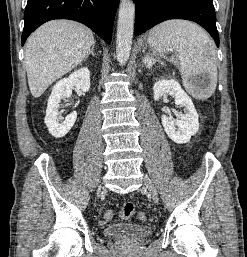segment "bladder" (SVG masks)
<instances>
[{
	"label": "bladder",
	"instance_id": "1",
	"mask_svg": "<svg viewBox=\"0 0 247 257\" xmlns=\"http://www.w3.org/2000/svg\"><path fill=\"white\" fill-rule=\"evenodd\" d=\"M103 235L108 239L123 242H140L152 235V229L146 225L120 223L105 227Z\"/></svg>",
	"mask_w": 247,
	"mask_h": 257
}]
</instances>
